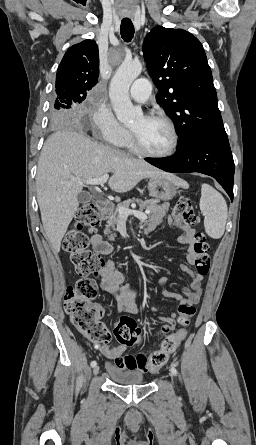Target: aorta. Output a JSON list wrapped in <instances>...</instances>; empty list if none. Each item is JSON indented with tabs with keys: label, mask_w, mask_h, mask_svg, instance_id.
<instances>
[{
	"label": "aorta",
	"mask_w": 256,
	"mask_h": 445,
	"mask_svg": "<svg viewBox=\"0 0 256 445\" xmlns=\"http://www.w3.org/2000/svg\"><path fill=\"white\" fill-rule=\"evenodd\" d=\"M141 72L140 62L125 61L111 80L109 96L115 115L121 123L129 124L142 116L141 108L134 107L129 97V88Z\"/></svg>",
	"instance_id": "aorta-1"
}]
</instances>
